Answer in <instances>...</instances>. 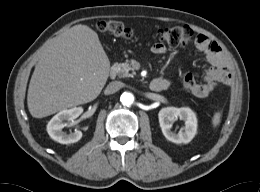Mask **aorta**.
<instances>
[{
	"instance_id": "762f6f07",
	"label": "aorta",
	"mask_w": 260,
	"mask_h": 192,
	"mask_svg": "<svg viewBox=\"0 0 260 192\" xmlns=\"http://www.w3.org/2000/svg\"><path fill=\"white\" fill-rule=\"evenodd\" d=\"M120 101L124 106H131L134 103V96L130 92H123Z\"/></svg>"
}]
</instances>
